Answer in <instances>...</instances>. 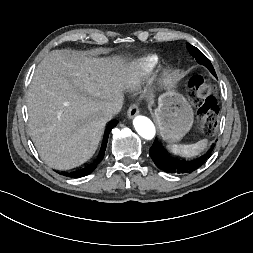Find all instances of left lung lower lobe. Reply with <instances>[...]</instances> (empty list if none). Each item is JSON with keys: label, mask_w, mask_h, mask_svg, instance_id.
Returning <instances> with one entry per match:
<instances>
[{"label": "left lung lower lobe", "mask_w": 253, "mask_h": 253, "mask_svg": "<svg viewBox=\"0 0 253 253\" xmlns=\"http://www.w3.org/2000/svg\"><path fill=\"white\" fill-rule=\"evenodd\" d=\"M198 63L206 66L209 71L216 77L215 70L209 61L208 58H196ZM214 148V144L204 155L191 159V160H178L168 156L160 147L158 140L156 139L153 145L150 148V156L153 159L155 165L167 172V173H175V174H188L196 171L200 166H202Z\"/></svg>", "instance_id": "obj_1"}]
</instances>
